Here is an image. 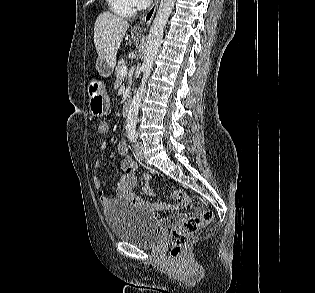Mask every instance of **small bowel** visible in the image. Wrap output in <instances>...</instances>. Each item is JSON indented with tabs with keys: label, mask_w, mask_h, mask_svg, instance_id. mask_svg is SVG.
Here are the masks:
<instances>
[{
	"label": "small bowel",
	"mask_w": 315,
	"mask_h": 293,
	"mask_svg": "<svg viewBox=\"0 0 315 293\" xmlns=\"http://www.w3.org/2000/svg\"><path fill=\"white\" fill-rule=\"evenodd\" d=\"M108 145L106 141H102L99 145L101 151H105ZM117 150L123 159L121 162V175L117 183L116 194L113 198H109L105 195L104 190L102 189L101 180L97 175V170L101 166V162L97 160L94 164V175H93V186L96 192V195L99 198V201L103 207L109 206L111 203L116 202H127L132 205L146 208L151 212L158 211H171L180 209L182 205H172L170 203L163 202L161 200L156 201H145L142 198L136 197L132 190L137 185V163L130 157L128 153L127 145L124 141H120L117 146ZM145 182L149 180V175L144 177ZM143 193L149 196H153V191L149 188L147 184L142 187ZM186 218L185 214L177 213L169 216L166 219L167 223L176 224L182 219Z\"/></svg>",
	"instance_id": "c3829d8e"
}]
</instances>
